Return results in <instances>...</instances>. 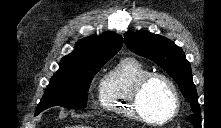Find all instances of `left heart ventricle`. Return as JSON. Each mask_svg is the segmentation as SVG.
<instances>
[{"instance_id":"obj_1","label":"left heart ventricle","mask_w":221,"mask_h":128,"mask_svg":"<svg viewBox=\"0 0 221 128\" xmlns=\"http://www.w3.org/2000/svg\"><path fill=\"white\" fill-rule=\"evenodd\" d=\"M140 105L152 119L166 118L172 109V101L167 85L160 79L150 81L141 93Z\"/></svg>"}]
</instances>
